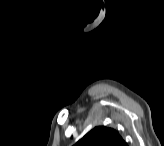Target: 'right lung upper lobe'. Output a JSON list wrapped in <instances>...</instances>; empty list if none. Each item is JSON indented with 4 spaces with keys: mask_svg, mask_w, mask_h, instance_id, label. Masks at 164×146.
I'll list each match as a JSON object with an SVG mask.
<instances>
[{
    "mask_svg": "<svg viewBox=\"0 0 164 146\" xmlns=\"http://www.w3.org/2000/svg\"><path fill=\"white\" fill-rule=\"evenodd\" d=\"M76 146H126V143L114 129L98 126L80 139Z\"/></svg>",
    "mask_w": 164,
    "mask_h": 146,
    "instance_id": "1",
    "label": "right lung upper lobe"
}]
</instances>
